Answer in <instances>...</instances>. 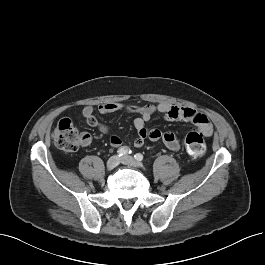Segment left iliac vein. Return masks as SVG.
Segmentation results:
<instances>
[{
    "label": "left iliac vein",
    "instance_id": "4c4485c4",
    "mask_svg": "<svg viewBox=\"0 0 265 265\" xmlns=\"http://www.w3.org/2000/svg\"><path fill=\"white\" fill-rule=\"evenodd\" d=\"M121 162L125 165H129L132 167H141V164L134 160L131 156H124L121 158Z\"/></svg>",
    "mask_w": 265,
    "mask_h": 265
}]
</instances>
